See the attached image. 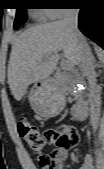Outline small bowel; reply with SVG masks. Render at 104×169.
Instances as JSON below:
<instances>
[{"mask_svg": "<svg viewBox=\"0 0 104 169\" xmlns=\"http://www.w3.org/2000/svg\"><path fill=\"white\" fill-rule=\"evenodd\" d=\"M53 165L50 169H62L64 162L68 158V148L57 145L52 152ZM80 169H94V162L90 155H85Z\"/></svg>", "mask_w": 104, "mask_h": 169, "instance_id": "obj_1", "label": "small bowel"}]
</instances>
